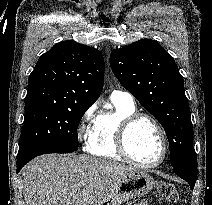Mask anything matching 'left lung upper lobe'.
<instances>
[{"instance_id":"obj_1","label":"left lung upper lobe","mask_w":212,"mask_h":205,"mask_svg":"<svg viewBox=\"0 0 212 205\" xmlns=\"http://www.w3.org/2000/svg\"><path fill=\"white\" fill-rule=\"evenodd\" d=\"M110 66L118 81L163 126L173 169H197L189 104L173 57L158 42L144 39L114 49Z\"/></svg>"}]
</instances>
